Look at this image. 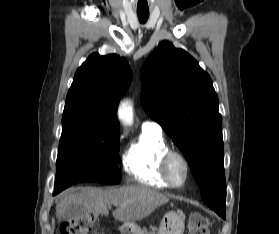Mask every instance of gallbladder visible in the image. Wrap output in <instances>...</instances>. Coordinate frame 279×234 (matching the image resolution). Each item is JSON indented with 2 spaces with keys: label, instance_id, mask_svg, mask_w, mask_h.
Returning <instances> with one entry per match:
<instances>
[{
  "label": "gallbladder",
  "instance_id": "bac80fb5",
  "mask_svg": "<svg viewBox=\"0 0 279 234\" xmlns=\"http://www.w3.org/2000/svg\"><path fill=\"white\" fill-rule=\"evenodd\" d=\"M87 210L81 205H70L63 214L65 220L77 219L85 217Z\"/></svg>",
  "mask_w": 279,
  "mask_h": 234
}]
</instances>
